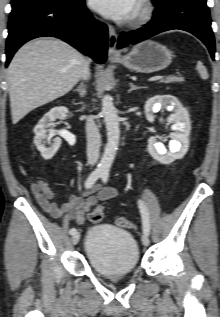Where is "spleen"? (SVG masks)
<instances>
[{"instance_id":"obj_1","label":"spleen","mask_w":220,"mask_h":317,"mask_svg":"<svg viewBox=\"0 0 220 317\" xmlns=\"http://www.w3.org/2000/svg\"><path fill=\"white\" fill-rule=\"evenodd\" d=\"M196 69L198 70L200 76H201L203 79H207V78H208V74H207L206 68H205V66L202 64V62H200V61L197 62Z\"/></svg>"}]
</instances>
